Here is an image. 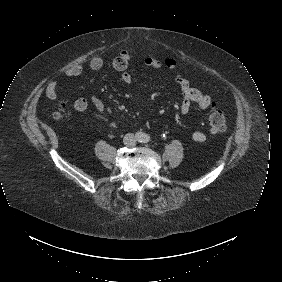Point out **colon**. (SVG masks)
Segmentation results:
<instances>
[{"mask_svg":"<svg viewBox=\"0 0 282 282\" xmlns=\"http://www.w3.org/2000/svg\"><path fill=\"white\" fill-rule=\"evenodd\" d=\"M166 65L169 69L174 68V62L172 60H168ZM56 118H59L60 115L56 114ZM208 124L210 131L212 133H219L223 132L226 129V121L222 111L216 107L215 103L213 102L211 105V109L208 116Z\"/></svg>","mask_w":282,"mask_h":282,"instance_id":"1","label":"colon"}]
</instances>
